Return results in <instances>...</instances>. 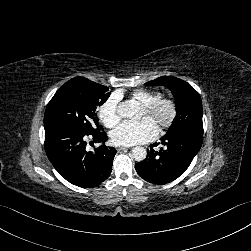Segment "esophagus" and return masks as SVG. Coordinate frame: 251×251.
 <instances>
[{
  "mask_svg": "<svg viewBox=\"0 0 251 251\" xmlns=\"http://www.w3.org/2000/svg\"><path fill=\"white\" fill-rule=\"evenodd\" d=\"M126 148L125 147H122V146H117L116 147V150L118 151V152H121V151H123V150H125Z\"/></svg>",
  "mask_w": 251,
  "mask_h": 251,
  "instance_id": "obj_1",
  "label": "esophagus"
}]
</instances>
